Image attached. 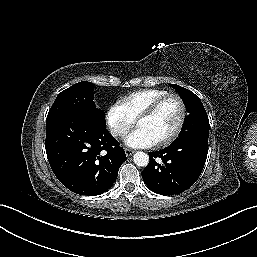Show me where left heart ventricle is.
<instances>
[{"label": "left heart ventricle", "instance_id": "left-heart-ventricle-1", "mask_svg": "<svg viewBox=\"0 0 257 257\" xmlns=\"http://www.w3.org/2000/svg\"><path fill=\"white\" fill-rule=\"evenodd\" d=\"M180 113L178 101L172 98L165 102L153 116L139 120L137 125L145 129L158 142L174 131Z\"/></svg>", "mask_w": 257, "mask_h": 257}]
</instances>
